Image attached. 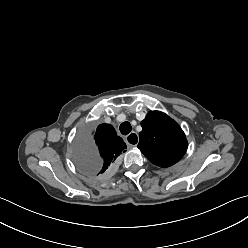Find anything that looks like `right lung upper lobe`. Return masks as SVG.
<instances>
[{"mask_svg": "<svg viewBox=\"0 0 248 248\" xmlns=\"http://www.w3.org/2000/svg\"><path fill=\"white\" fill-rule=\"evenodd\" d=\"M94 140L101 159L99 174L107 173L127 146L110 124L99 125L94 133Z\"/></svg>", "mask_w": 248, "mask_h": 248, "instance_id": "cb5924a9", "label": "right lung upper lobe"}]
</instances>
